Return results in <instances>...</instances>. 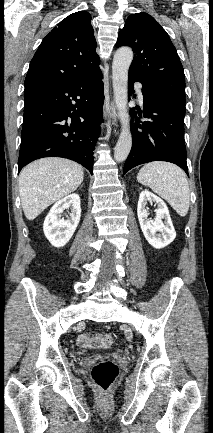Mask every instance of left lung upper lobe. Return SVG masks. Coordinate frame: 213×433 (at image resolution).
I'll return each instance as SVG.
<instances>
[{"instance_id": "obj_1", "label": "left lung upper lobe", "mask_w": 213, "mask_h": 433, "mask_svg": "<svg viewBox=\"0 0 213 433\" xmlns=\"http://www.w3.org/2000/svg\"><path fill=\"white\" fill-rule=\"evenodd\" d=\"M117 47L135 54L129 74L151 92L185 106V76L176 48L162 26L149 14H131L120 31Z\"/></svg>"}]
</instances>
